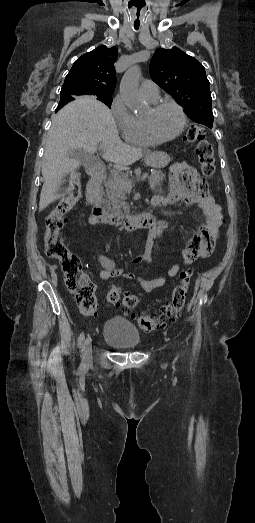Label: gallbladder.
<instances>
[{
    "label": "gallbladder",
    "instance_id": "gallbladder-1",
    "mask_svg": "<svg viewBox=\"0 0 255 523\" xmlns=\"http://www.w3.org/2000/svg\"><path fill=\"white\" fill-rule=\"evenodd\" d=\"M68 158H73V160H78L82 166H87V164H90L92 162V156L90 154H87L85 150H81V148H77V150H71L70 154H68Z\"/></svg>",
    "mask_w": 255,
    "mask_h": 523
}]
</instances>
